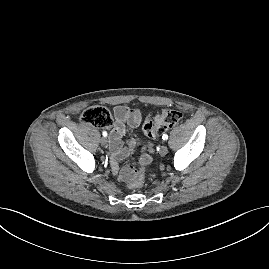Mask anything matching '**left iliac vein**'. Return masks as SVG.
I'll return each mask as SVG.
<instances>
[{
  "instance_id": "obj_1",
  "label": "left iliac vein",
  "mask_w": 269,
  "mask_h": 269,
  "mask_svg": "<svg viewBox=\"0 0 269 269\" xmlns=\"http://www.w3.org/2000/svg\"><path fill=\"white\" fill-rule=\"evenodd\" d=\"M167 152H168V148H167V146H166V145H162V146L160 147V149H159V154H160L161 156H165V155L167 154Z\"/></svg>"
}]
</instances>
